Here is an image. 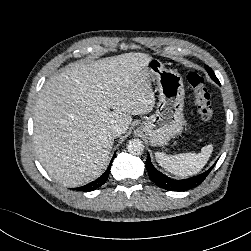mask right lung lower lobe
I'll return each mask as SVG.
<instances>
[{
	"label": "right lung lower lobe",
	"mask_w": 251,
	"mask_h": 251,
	"mask_svg": "<svg viewBox=\"0 0 251 251\" xmlns=\"http://www.w3.org/2000/svg\"><path fill=\"white\" fill-rule=\"evenodd\" d=\"M110 169H111V163L107 168V170L98 179L82 187H79V190L84 192H89L101 187L107 181Z\"/></svg>",
	"instance_id": "right-lung-lower-lobe-1"
}]
</instances>
